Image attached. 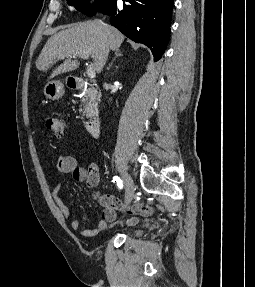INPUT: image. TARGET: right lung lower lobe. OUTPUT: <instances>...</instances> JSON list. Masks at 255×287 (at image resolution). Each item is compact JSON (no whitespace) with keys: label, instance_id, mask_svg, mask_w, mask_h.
<instances>
[{"label":"right lung lower lobe","instance_id":"1","mask_svg":"<svg viewBox=\"0 0 255 287\" xmlns=\"http://www.w3.org/2000/svg\"><path fill=\"white\" fill-rule=\"evenodd\" d=\"M123 10L115 6L107 15L110 23L131 40L150 48L158 61L170 38L173 0H123Z\"/></svg>","mask_w":255,"mask_h":287}]
</instances>
